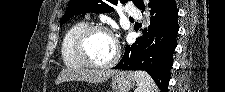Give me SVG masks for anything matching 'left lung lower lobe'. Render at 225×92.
I'll list each match as a JSON object with an SVG mask.
<instances>
[{"label": "left lung lower lobe", "mask_w": 225, "mask_h": 92, "mask_svg": "<svg viewBox=\"0 0 225 92\" xmlns=\"http://www.w3.org/2000/svg\"><path fill=\"white\" fill-rule=\"evenodd\" d=\"M151 15L148 32L138 39L141 43L126 46L123 58L113 69L146 71L161 91L167 92L179 29L175 0H159L151 8Z\"/></svg>", "instance_id": "1"}]
</instances>
